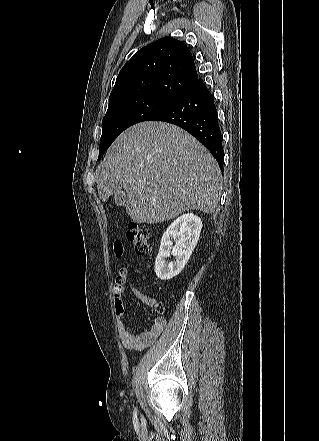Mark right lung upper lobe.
Instances as JSON below:
<instances>
[{
  "mask_svg": "<svg viewBox=\"0 0 319 441\" xmlns=\"http://www.w3.org/2000/svg\"><path fill=\"white\" fill-rule=\"evenodd\" d=\"M198 79L188 47L172 37L140 49L124 65L109 97V107L144 96L173 100Z\"/></svg>",
  "mask_w": 319,
  "mask_h": 441,
  "instance_id": "right-lung-upper-lobe-1",
  "label": "right lung upper lobe"
}]
</instances>
